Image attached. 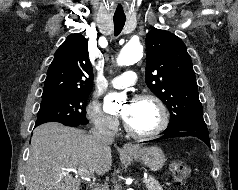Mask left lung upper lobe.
I'll return each instance as SVG.
<instances>
[{"instance_id": "1", "label": "left lung upper lobe", "mask_w": 238, "mask_h": 190, "mask_svg": "<svg viewBox=\"0 0 238 190\" xmlns=\"http://www.w3.org/2000/svg\"><path fill=\"white\" fill-rule=\"evenodd\" d=\"M146 83L168 107V127L204 121L193 65L183 41L153 28L146 35Z\"/></svg>"}]
</instances>
